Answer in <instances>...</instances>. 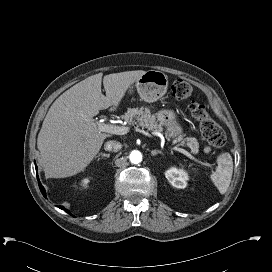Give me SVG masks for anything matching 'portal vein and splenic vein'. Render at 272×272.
I'll use <instances>...</instances> for the list:
<instances>
[{
    "mask_svg": "<svg viewBox=\"0 0 272 272\" xmlns=\"http://www.w3.org/2000/svg\"><path fill=\"white\" fill-rule=\"evenodd\" d=\"M98 129L101 132H106V133H110V134H116V135H124L128 133V127H120V126H116V125H111V124H105L102 121H97L96 122ZM135 130L137 132H140L146 136H151L150 133H148L147 131L140 129V128H135ZM174 150L179 151L181 153H183L184 155H186L187 157H189L190 159H194V157L187 152L186 150L182 149V148H177L175 147Z\"/></svg>",
    "mask_w": 272,
    "mask_h": 272,
    "instance_id": "18ae733b",
    "label": "portal vein and splenic vein"
}]
</instances>
